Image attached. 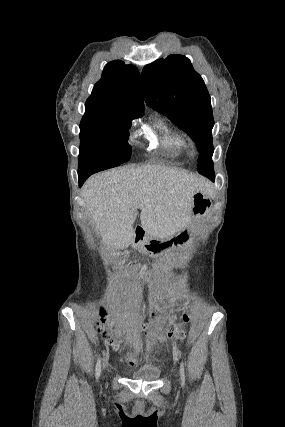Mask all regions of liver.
<instances>
[{
	"instance_id": "obj_1",
	"label": "liver",
	"mask_w": 285,
	"mask_h": 427,
	"mask_svg": "<svg viewBox=\"0 0 285 427\" xmlns=\"http://www.w3.org/2000/svg\"><path fill=\"white\" fill-rule=\"evenodd\" d=\"M83 197L103 241L110 249H123L134 239L137 210L144 231L169 238L191 222L196 192L212 193L203 177L157 164L122 167L91 176Z\"/></svg>"
}]
</instances>
